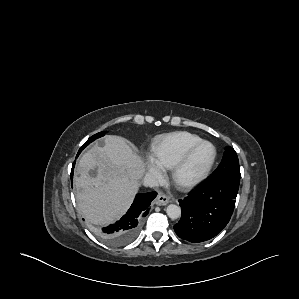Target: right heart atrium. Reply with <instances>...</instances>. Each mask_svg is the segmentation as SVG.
Listing matches in <instances>:
<instances>
[{
    "label": "right heart atrium",
    "mask_w": 299,
    "mask_h": 299,
    "mask_svg": "<svg viewBox=\"0 0 299 299\" xmlns=\"http://www.w3.org/2000/svg\"><path fill=\"white\" fill-rule=\"evenodd\" d=\"M149 173L156 179L162 180L164 177V169L159 165L155 159H149L148 161Z\"/></svg>",
    "instance_id": "d8ad5b80"
}]
</instances>
